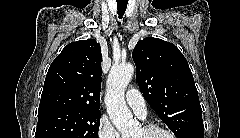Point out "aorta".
Masks as SVG:
<instances>
[{"label": "aorta", "instance_id": "1", "mask_svg": "<svg viewBox=\"0 0 240 138\" xmlns=\"http://www.w3.org/2000/svg\"><path fill=\"white\" fill-rule=\"evenodd\" d=\"M134 73L130 63L112 66L107 80L105 104L111 122L121 133L122 138H131L138 127V121L133 118L128 109L124 92Z\"/></svg>", "mask_w": 240, "mask_h": 138}]
</instances>
